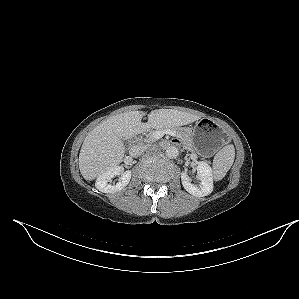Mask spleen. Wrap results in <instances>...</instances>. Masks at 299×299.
<instances>
[{
	"mask_svg": "<svg viewBox=\"0 0 299 299\" xmlns=\"http://www.w3.org/2000/svg\"><path fill=\"white\" fill-rule=\"evenodd\" d=\"M235 148L232 144L223 147L213 159V177L215 181L222 180L233 165Z\"/></svg>",
	"mask_w": 299,
	"mask_h": 299,
	"instance_id": "3e777b00",
	"label": "spleen"
}]
</instances>
